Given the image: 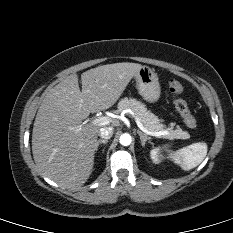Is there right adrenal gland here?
<instances>
[{
    "label": "right adrenal gland",
    "instance_id": "obj_1",
    "mask_svg": "<svg viewBox=\"0 0 233 233\" xmlns=\"http://www.w3.org/2000/svg\"><path fill=\"white\" fill-rule=\"evenodd\" d=\"M107 143H108V139H101V140H98V141H97V147H96V149H98V147H99L100 144L106 145Z\"/></svg>",
    "mask_w": 233,
    "mask_h": 233
}]
</instances>
